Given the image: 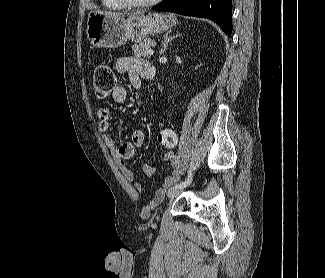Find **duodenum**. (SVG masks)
Wrapping results in <instances>:
<instances>
[{
  "instance_id": "duodenum-1",
  "label": "duodenum",
  "mask_w": 325,
  "mask_h": 278,
  "mask_svg": "<svg viewBox=\"0 0 325 278\" xmlns=\"http://www.w3.org/2000/svg\"><path fill=\"white\" fill-rule=\"evenodd\" d=\"M154 78V71L151 65L149 64L146 69V79H153Z\"/></svg>"
}]
</instances>
